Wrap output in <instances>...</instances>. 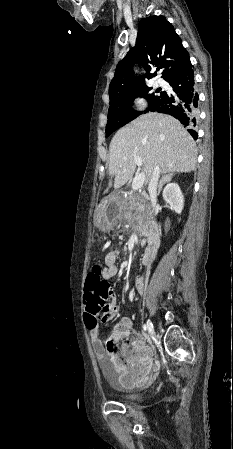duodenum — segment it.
I'll return each mask as SVG.
<instances>
[{
    "instance_id": "obj_1",
    "label": "duodenum",
    "mask_w": 233,
    "mask_h": 449,
    "mask_svg": "<svg viewBox=\"0 0 233 449\" xmlns=\"http://www.w3.org/2000/svg\"><path fill=\"white\" fill-rule=\"evenodd\" d=\"M160 247V239L158 235H153L150 240V247L145 251L143 255V261L150 267L157 255V252Z\"/></svg>"
}]
</instances>
